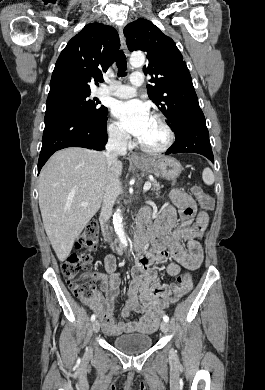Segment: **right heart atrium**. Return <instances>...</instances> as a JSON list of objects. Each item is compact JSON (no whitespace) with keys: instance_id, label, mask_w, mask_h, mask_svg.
<instances>
[{"instance_id":"obj_1","label":"right heart atrium","mask_w":265,"mask_h":390,"mask_svg":"<svg viewBox=\"0 0 265 390\" xmlns=\"http://www.w3.org/2000/svg\"><path fill=\"white\" fill-rule=\"evenodd\" d=\"M108 135L114 143L126 146L129 143L127 133L119 126L117 122L111 121L108 125Z\"/></svg>"}]
</instances>
